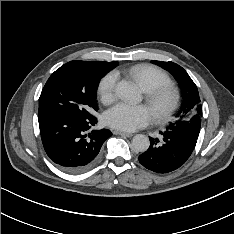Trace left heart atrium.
I'll use <instances>...</instances> for the list:
<instances>
[{
  "instance_id": "left-heart-atrium-1",
  "label": "left heart atrium",
  "mask_w": 234,
  "mask_h": 234,
  "mask_svg": "<svg viewBox=\"0 0 234 234\" xmlns=\"http://www.w3.org/2000/svg\"><path fill=\"white\" fill-rule=\"evenodd\" d=\"M152 120L151 110L145 105L119 103L104 114V122L115 129L135 131L148 125Z\"/></svg>"
}]
</instances>
